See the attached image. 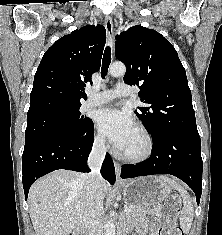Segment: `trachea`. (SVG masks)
Segmentation results:
<instances>
[{"instance_id": "obj_1", "label": "trachea", "mask_w": 222, "mask_h": 235, "mask_svg": "<svg viewBox=\"0 0 222 235\" xmlns=\"http://www.w3.org/2000/svg\"><path fill=\"white\" fill-rule=\"evenodd\" d=\"M111 63V48L108 46L106 47L102 59V67H101V77L105 79L109 65Z\"/></svg>"}]
</instances>
